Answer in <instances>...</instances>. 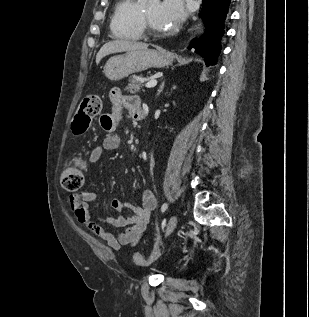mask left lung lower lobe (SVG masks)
<instances>
[{
    "label": "left lung lower lobe",
    "instance_id": "left-lung-lower-lobe-1",
    "mask_svg": "<svg viewBox=\"0 0 309 317\" xmlns=\"http://www.w3.org/2000/svg\"><path fill=\"white\" fill-rule=\"evenodd\" d=\"M201 17L204 19L206 32L201 41H194L188 49L204 58L206 66L216 65L221 51V39L230 14L231 0H204Z\"/></svg>",
    "mask_w": 309,
    "mask_h": 317
}]
</instances>
